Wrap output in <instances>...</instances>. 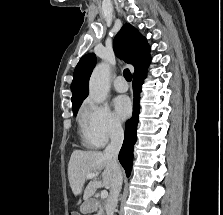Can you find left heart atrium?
Listing matches in <instances>:
<instances>
[{"label": "left heart atrium", "instance_id": "obj_1", "mask_svg": "<svg viewBox=\"0 0 223 215\" xmlns=\"http://www.w3.org/2000/svg\"><path fill=\"white\" fill-rule=\"evenodd\" d=\"M115 111L119 118L123 119L130 114L131 105L127 96L121 95L114 99Z\"/></svg>", "mask_w": 223, "mask_h": 215}]
</instances>
